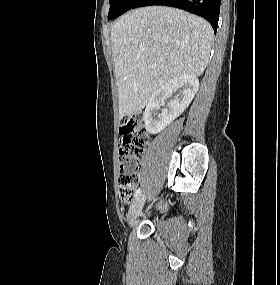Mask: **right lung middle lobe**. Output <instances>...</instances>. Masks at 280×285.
Wrapping results in <instances>:
<instances>
[{
    "mask_svg": "<svg viewBox=\"0 0 280 285\" xmlns=\"http://www.w3.org/2000/svg\"><path fill=\"white\" fill-rule=\"evenodd\" d=\"M137 0H109L110 9L108 19H113L125 13L133 7Z\"/></svg>",
    "mask_w": 280,
    "mask_h": 285,
    "instance_id": "1",
    "label": "right lung middle lobe"
}]
</instances>
